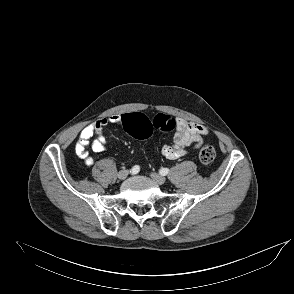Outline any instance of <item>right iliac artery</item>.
<instances>
[{"label":"right iliac artery","instance_id":"obj_1","mask_svg":"<svg viewBox=\"0 0 294 294\" xmlns=\"http://www.w3.org/2000/svg\"><path fill=\"white\" fill-rule=\"evenodd\" d=\"M139 170H140V167L139 166H134L132 169H131V173L132 174H137L138 172H139Z\"/></svg>","mask_w":294,"mask_h":294}]
</instances>
